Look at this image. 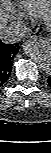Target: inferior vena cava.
<instances>
[{
  "label": "inferior vena cava",
  "mask_w": 51,
  "mask_h": 153,
  "mask_svg": "<svg viewBox=\"0 0 51 153\" xmlns=\"http://www.w3.org/2000/svg\"><path fill=\"white\" fill-rule=\"evenodd\" d=\"M25 36L23 30L17 26H6L0 31V38L6 44H15Z\"/></svg>",
  "instance_id": "602c4592"
}]
</instances>
